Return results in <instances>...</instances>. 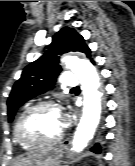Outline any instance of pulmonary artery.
Instances as JSON below:
<instances>
[{"label":"pulmonary artery","instance_id":"pulmonary-artery-1","mask_svg":"<svg viewBox=\"0 0 135 166\" xmlns=\"http://www.w3.org/2000/svg\"><path fill=\"white\" fill-rule=\"evenodd\" d=\"M61 83L65 87H75L78 84V79L71 71H64L61 75Z\"/></svg>","mask_w":135,"mask_h":166}]
</instances>
